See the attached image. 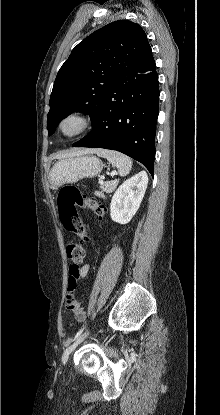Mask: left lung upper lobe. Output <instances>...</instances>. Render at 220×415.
I'll list each match as a JSON object with an SVG mask.
<instances>
[{
    "label": "left lung upper lobe",
    "mask_w": 220,
    "mask_h": 415,
    "mask_svg": "<svg viewBox=\"0 0 220 415\" xmlns=\"http://www.w3.org/2000/svg\"><path fill=\"white\" fill-rule=\"evenodd\" d=\"M153 58L145 32L128 20L93 32L71 52L56 76L47 115L49 135L73 112L94 118L114 82L143 68Z\"/></svg>",
    "instance_id": "5c2ea615"
}]
</instances>
